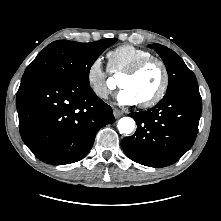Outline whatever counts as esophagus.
<instances>
[{
  "instance_id": "34e87169",
  "label": "esophagus",
  "mask_w": 221,
  "mask_h": 221,
  "mask_svg": "<svg viewBox=\"0 0 221 221\" xmlns=\"http://www.w3.org/2000/svg\"><path fill=\"white\" fill-rule=\"evenodd\" d=\"M113 115H114L115 118L118 119V118H120L123 115V112L120 111L119 109H114L113 110Z\"/></svg>"
}]
</instances>
